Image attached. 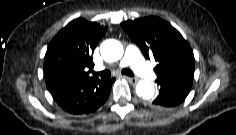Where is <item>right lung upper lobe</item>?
<instances>
[{
	"mask_svg": "<svg viewBox=\"0 0 236 135\" xmlns=\"http://www.w3.org/2000/svg\"><path fill=\"white\" fill-rule=\"evenodd\" d=\"M107 28L78 18L68 23L48 45L44 60L46 82L60 76L91 79L86 68L93 66L91 53Z\"/></svg>",
	"mask_w": 236,
	"mask_h": 135,
	"instance_id": "obj_1",
	"label": "right lung upper lobe"
}]
</instances>
